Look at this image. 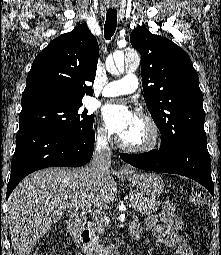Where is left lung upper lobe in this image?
<instances>
[{"label": "left lung upper lobe", "instance_id": "1", "mask_svg": "<svg viewBox=\"0 0 221 255\" xmlns=\"http://www.w3.org/2000/svg\"><path fill=\"white\" fill-rule=\"evenodd\" d=\"M141 55L144 99L161 133V146L174 149L189 140H206L203 94L188 54L144 26L131 35Z\"/></svg>", "mask_w": 221, "mask_h": 255}]
</instances>
